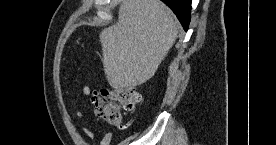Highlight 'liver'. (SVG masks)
<instances>
[{"label": "liver", "instance_id": "obj_1", "mask_svg": "<svg viewBox=\"0 0 276 145\" xmlns=\"http://www.w3.org/2000/svg\"><path fill=\"white\" fill-rule=\"evenodd\" d=\"M172 11L160 0H122L118 21L99 35L103 67L114 89L151 79L178 33Z\"/></svg>", "mask_w": 276, "mask_h": 145}]
</instances>
